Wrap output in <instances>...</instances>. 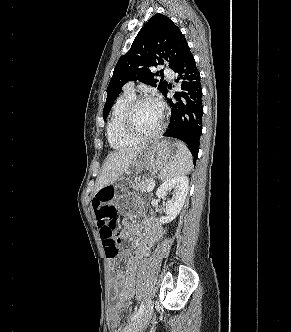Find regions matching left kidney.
Segmentation results:
<instances>
[{
  "label": "left kidney",
  "mask_w": 291,
  "mask_h": 332,
  "mask_svg": "<svg viewBox=\"0 0 291 332\" xmlns=\"http://www.w3.org/2000/svg\"><path fill=\"white\" fill-rule=\"evenodd\" d=\"M189 180L186 176H178L163 182L156 191V196L166 200L168 191L173 190L172 198L166 201V216L160 217L161 224L173 221L180 213L188 193Z\"/></svg>",
  "instance_id": "obj_1"
}]
</instances>
